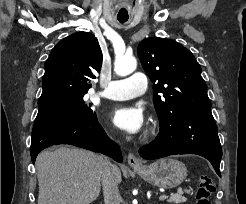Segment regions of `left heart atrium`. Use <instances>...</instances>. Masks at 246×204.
I'll return each instance as SVG.
<instances>
[{
    "label": "left heart atrium",
    "mask_w": 246,
    "mask_h": 204,
    "mask_svg": "<svg viewBox=\"0 0 246 204\" xmlns=\"http://www.w3.org/2000/svg\"><path fill=\"white\" fill-rule=\"evenodd\" d=\"M111 121L121 130L136 134L142 130L145 117L142 109L135 105H119L109 113Z\"/></svg>",
    "instance_id": "1"
}]
</instances>
